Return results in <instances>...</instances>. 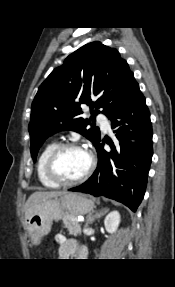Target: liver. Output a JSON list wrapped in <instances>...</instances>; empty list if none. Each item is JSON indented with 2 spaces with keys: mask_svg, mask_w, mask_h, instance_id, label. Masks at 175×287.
<instances>
[{
  "mask_svg": "<svg viewBox=\"0 0 175 287\" xmlns=\"http://www.w3.org/2000/svg\"><path fill=\"white\" fill-rule=\"evenodd\" d=\"M64 191H37L30 195L26 204H25V216L28 214V211L31 210L36 204L50 198H55L65 194Z\"/></svg>",
  "mask_w": 175,
  "mask_h": 287,
  "instance_id": "1",
  "label": "liver"
}]
</instances>
